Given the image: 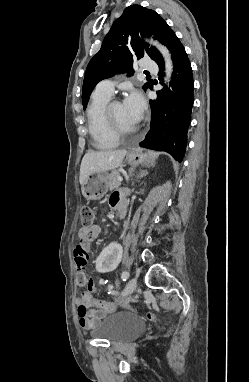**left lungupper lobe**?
I'll use <instances>...</instances> for the list:
<instances>
[{"mask_svg": "<svg viewBox=\"0 0 249 382\" xmlns=\"http://www.w3.org/2000/svg\"><path fill=\"white\" fill-rule=\"evenodd\" d=\"M139 35L153 36L169 49L175 33L167 23L151 9L140 5L127 7L120 18L116 19L106 35L100 51L90 60L84 77L82 102L84 109L94 87L103 79L117 73H134L133 62L144 55L150 56L156 63L162 59L159 51L140 41ZM147 82L143 89L151 88Z\"/></svg>", "mask_w": 249, "mask_h": 382, "instance_id": "5c2ea615", "label": "left lung upper lobe"}]
</instances>
